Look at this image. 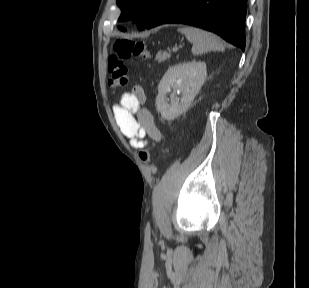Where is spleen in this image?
<instances>
[{"label":"spleen","instance_id":"1","mask_svg":"<svg viewBox=\"0 0 309 288\" xmlns=\"http://www.w3.org/2000/svg\"><path fill=\"white\" fill-rule=\"evenodd\" d=\"M179 32L183 33L188 41L193 44L192 53L194 55L224 49L220 38L213 33L195 27H183L179 29Z\"/></svg>","mask_w":309,"mask_h":288}]
</instances>
